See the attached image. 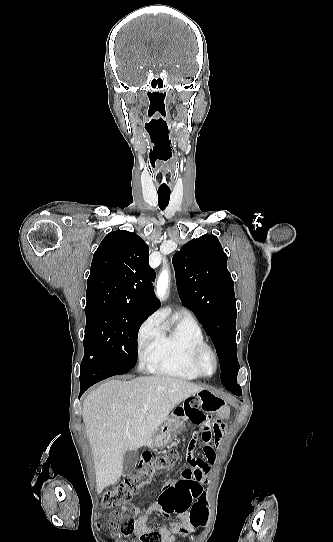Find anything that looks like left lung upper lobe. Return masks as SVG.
Returning a JSON list of instances; mask_svg holds the SVG:
<instances>
[{"label": "left lung upper lobe", "instance_id": "left-lung-upper-lobe-1", "mask_svg": "<svg viewBox=\"0 0 333 542\" xmlns=\"http://www.w3.org/2000/svg\"><path fill=\"white\" fill-rule=\"evenodd\" d=\"M179 297L211 337L221 379L237 377L236 301L227 255L218 238L203 235L186 243L172 259Z\"/></svg>", "mask_w": 333, "mask_h": 542}]
</instances>
